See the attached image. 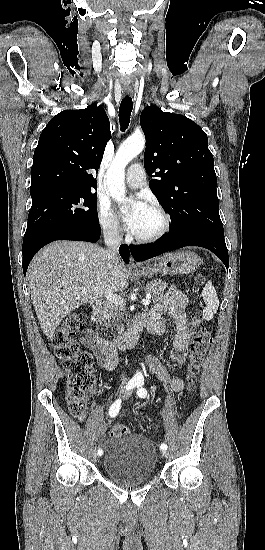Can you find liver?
<instances>
[{
  "label": "liver",
  "instance_id": "1",
  "mask_svg": "<svg viewBox=\"0 0 265 550\" xmlns=\"http://www.w3.org/2000/svg\"><path fill=\"white\" fill-rule=\"evenodd\" d=\"M104 251L92 243L56 241L33 258L27 271L28 287L48 339L71 311L128 286L124 263L118 258L110 267Z\"/></svg>",
  "mask_w": 265,
  "mask_h": 550
}]
</instances>
